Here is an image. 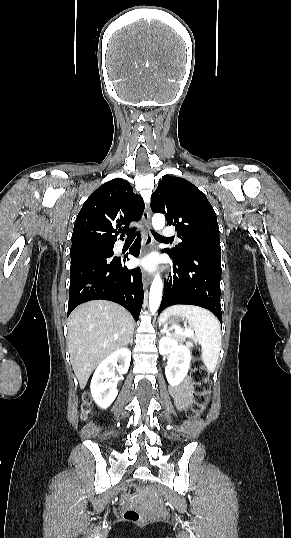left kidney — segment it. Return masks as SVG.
Instances as JSON below:
<instances>
[{
    "instance_id": "obj_1",
    "label": "left kidney",
    "mask_w": 291,
    "mask_h": 538,
    "mask_svg": "<svg viewBox=\"0 0 291 538\" xmlns=\"http://www.w3.org/2000/svg\"><path fill=\"white\" fill-rule=\"evenodd\" d=\"M159 353L163 356L171 355L172 362L165 367V374L171 386L179 385L186 377L190 362L191 352L188 345L179 344L177 340L165 336L159 341Z\"/></svg>"
}]
</instances>
